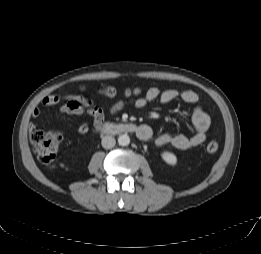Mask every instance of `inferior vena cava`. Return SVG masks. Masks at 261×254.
<instances>
[{
	"label": "inferior vena cava",
	"instance_id": "inferior-vena-cava-1",
	"mask_svg": "<svg viewBox=\"0 0 261 254\" xmlns=\"http://www.w3.org/2000/svg\"><path fill=\"white\" fill-rule=\"evenodd\" d=\"M101 143H102V146L105 149H110V148H113L115 146L116 140L112 136H105V137L102 138Z\"/></svg>",
	"mask_w": 261,
	"mask_h": 254
}]
</instances>
